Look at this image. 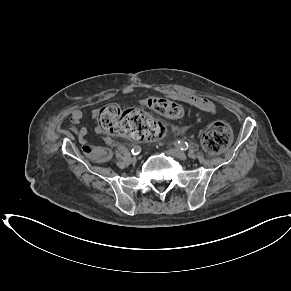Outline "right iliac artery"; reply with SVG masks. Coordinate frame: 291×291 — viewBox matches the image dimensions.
<instances>
[{
    "mask_svg": "<svg viewBox=\"0 0 291 291\" xmlns=\"http://www.w3.org/2000/svg\"><path fill=\"white\" fill-rule=\"evenodd\" d=\"M132 154L133 155H138L140 152H141V147L140 146H135L133 149H132Z\"/></svg>",
    "mask_w": 291,
    "mask_h": 291,
    "instance_id": "1",
    "label": "right iliac artery"
}]
</instances>
